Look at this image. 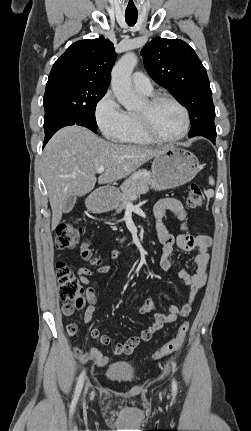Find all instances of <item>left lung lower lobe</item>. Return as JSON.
Returning a JSON list of instances; mask_svg holds the SVG:
<instances>
[{"label":"left lung lower lobe","mask_w":251,"mask_h":431,"mask_svg":"<svg viewBox=\"0 0 251 431\" xmlns=\"http://www.w3.org/2000/svg\"><path fill=\"white\" fill-rule=\"evenodd\" d=\"M200 135H203L204 133L202 131L199 132ZM215 143V142H214Z\"/></svg>","instance_id":"obj_1"}]
</instances>
